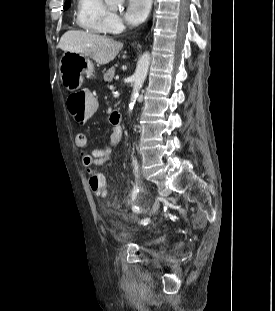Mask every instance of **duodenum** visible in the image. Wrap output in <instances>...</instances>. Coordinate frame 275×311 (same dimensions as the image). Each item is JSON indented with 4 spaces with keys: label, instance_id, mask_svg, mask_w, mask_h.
<instances>
[{
    "label": "duodenum",
    "instance_id": "410a0bca",
    "mask_svg": "<svg viewBox=\"0 0 275 311\" xmlns=\"http://www.w3.org/2000/svg\"><path fill=\"white\" fill-rule=\"evenodd\" d=\"M112 114H117V115H118V117H119L118 119H121V115H120L118 112L113 111V112L111 113V115H112ZM110 117H111V116H110Z\"/></svg>",
    "mask_w": 275,
    "mask_h": 311
}]
</instances>
